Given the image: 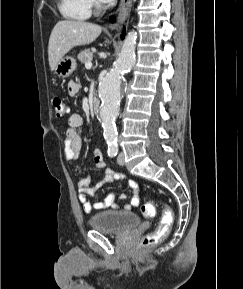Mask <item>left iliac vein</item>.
<instances>
[{
    "mask_svg": "<svg viewBox=\"0 0 243 289\" xmlns=\"http://www.w3.org/2000/svg\"><path fill=\"white\" fill-rule=\"evenodd\" d=\"M117 162H118L119 165H124V153L123 152H121L118 155Z\"/></svg>",
    "mask_w": 243,
    "mask_h": 289,
    "instance_id": "1",
    "label": "left iliac vein"
}]
</instances>
